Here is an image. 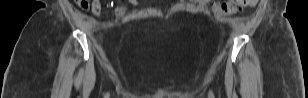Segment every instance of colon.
I'll use <instances>...</instances> for the list:
<instances>
[{
    "label": "colon",
    "mask_w": 308,
    "mask_h": 98,
    "mask_svg": "<svg viewBox=\"0 0 308 98\" xmlns=\"http://www.w3.org/2000/svg\"><path fill=\"white\" fill-rule=\"evenodd\" d=\"M76 2L81 7L84 8L89 3V0H77ZM255 3H256V0H229V1H224V2H212L211 11L215 15H218V16L219 15H232V14L237 13L241 7L249 6Z\"/></svg>",
    "instance_id": "5ec220e1"
}]
</instances>
